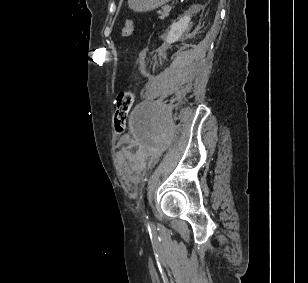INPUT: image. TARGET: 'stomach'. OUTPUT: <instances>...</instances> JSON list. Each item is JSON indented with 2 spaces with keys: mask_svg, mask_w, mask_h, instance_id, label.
Returning <instances> with one entry per match:
<instances>
[{
  "mask_svg": "<svg viewBox=\"0 0 308 283\" xmlns=\"http://www.w3.org/2000/svg\"><path fill=\"white\" fill-rule=\"evenodd\" d=\"M170 0H128L130 9L135 12H147L154 10Z\"/></svg>",
  "mask_w": 308,
  "mask_h": 283,
  "instance_id": "obj_1",
  "label": "stomach"
}]
</instances>
